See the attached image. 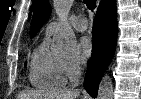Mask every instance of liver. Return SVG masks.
Instances as JSON below:
<instances>
[{
  "label": "liver",
  "mask_w": 141,
  "mask_h": 99,
  "mask_svg": "<svg viewBox=\"0 0 141 99\" xmlns=\"http://www.w3.org/2000/svg\"><path fill=\"white\" fill-rule=\"evenodd\" d=\"M79 94L80 91L76 89L50 92L29 90L21 92L17 99H77Z\"/></svg>",
  "instance_id": "obj_1"
}]
</instances>
